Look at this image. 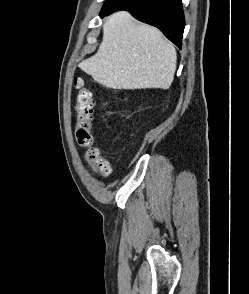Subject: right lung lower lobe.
I'll list each match as a JSON object with an SVG mask.
<instances>
[{"label": "right lung lower lobe", "instance_id": "right-lung-lower-lobe-1", "mask_svg": "<svg viewBox=\"0 0 249 294\" xmlns=\"http://www.w3.org/2000/svg\"><path fill=\"white\" fill-rule=\"evenodd\" d=\"M118 10H128L135 18L159 28L179 48L185 26L181 0H123L101 11L107 16Z\"/></svg>", "mask_w": 249, "mask_h": 294}]
</instances>
